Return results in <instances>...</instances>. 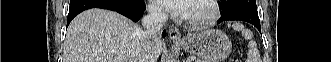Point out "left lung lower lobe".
Returning <instances> with one entry per match:
<instances>
[{
    "label": "left lung lower lobe",
    "mask_w": 331,
    "mask_h": 62,
    "mask_svg": "<svg viewBox=\"0 0 331 62\" xmlns=\"http://www.w3.org/2000/svg\"><path fill=\"white\" fill-rule=\"evenodd\" d=\"M231 20L247 22L261 31L258 12H252L246 9H235L222 14L221 18L218 20V23Z\"/></svg>",
    "instance_id": "left-lung-lower-lobe-1"
}]
</instances>
